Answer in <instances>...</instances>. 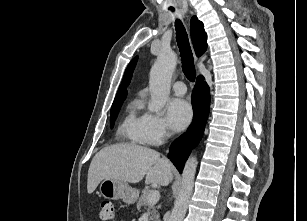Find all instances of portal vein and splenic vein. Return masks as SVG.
Listing matches in <instances>:
<instances>
[{
    "label": "portal vein and splenic vein",
    "instance_id": "portal-vein-and-splenic-vein-1",
    "mask_svg": "<svg viewBox=\"0 0 307 221\" xmlns=\"http://www.w3.org/2000/svg\"><path fill=\"white\" fill-rule=\"evenodd\" d=\"M160 192L158 190H153L148 195V203L156 204L159 201Z\"/></svg>",
    "mask_w": 307,
    "mask_h": 221
}]
</instances>
